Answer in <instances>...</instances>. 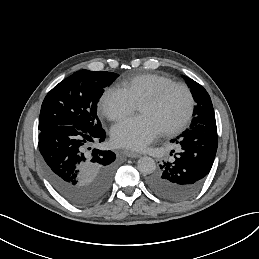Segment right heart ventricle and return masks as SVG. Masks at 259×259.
<instances>
[{
  "label": "right heart ventricle",
  "mask_w": 259,
  "mask_h": 259,
  "mask_svg": "<svg viewBox=\"0 0 259 259\" xmlns=\"http://www.w3.org/2000/svg\"><path fill=\"white\" fill-rule=\"evenodd\" d=\"M171 82H173V79L163 74H130L123 76L115 89L134 104H141L145 98L153 96L162 86Z\"/></svg>",
  "instance_id": "e07e8e85"
}]
</instances>
